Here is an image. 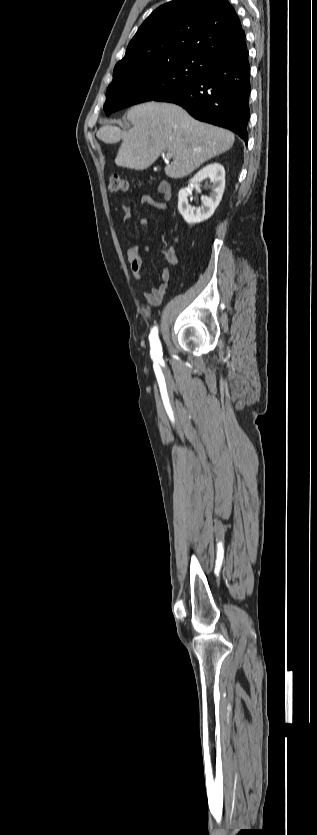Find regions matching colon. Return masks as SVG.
Wrapping results in <instances>:
<instances>
[{
	"label": "colon",
	"mask_w": 317,
	"mask_h": 835,
	"mask_svg": "<svg viewBox=\"0 0 317 835\" xmlns=\"http://www.w3.org/2000/svg\"><path fill=\"white\" fill-rule=\"evenodd\" d=\"M129 188L128 182L126 179L119 175L114 174L110 177L109 181V190L113 193H123L126 192Z\"/></svg>",
	"instance_id": "obj_1"
}]
</instances>
